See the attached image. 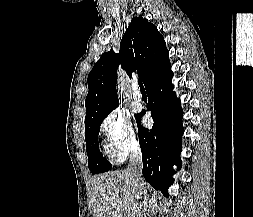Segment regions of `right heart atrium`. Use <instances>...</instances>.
I'll list each match as a JSON object with an SVG mask.
<instances>
[{"label":"right heart atrium","mask_w":253,"mask_h":217,"mask_svg":"<svg viewBox=\"0 0 253 217\" xmlns=\"http://www.w3.org/2000/svg\"><path fill=\"white\" fill-rule=\"evenodd\" d=\"M108 150L115 161L124 160L137 143L129 115L121 110L109 112L100 124Z\"/></svg>","instance_id":"1"}]
</instances>
